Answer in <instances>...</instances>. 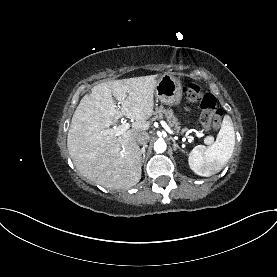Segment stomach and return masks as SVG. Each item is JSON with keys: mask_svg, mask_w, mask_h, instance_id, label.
<instances>
[{"mask_svg": "<svg viewBox=\"0 0 277 277\" xmlns=\"http://www.w3.org/2000/svg\"><path fill=\"white\" fill-rule=\"evenodd\" d=\"M156 97L166 105H177L182 99V86L178 78L170 74L162 75L155 87Z\"/></svg>", "mask_w": 277, "mask_h": 277, "instance_id": "stomach-1", "label": "stomach"}]
</instances>
